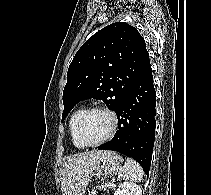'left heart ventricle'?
I'll use <instances>...</instances> for the list:
<instances>
[{
	"mask_svg": "<svg viewBox=\"0 0 211 195\" xmlns=\"http://www.w3.org/2000/svg\"><path fill=\"white\" fill-rule=\"evenodd\" d=\"M110 117L100 111L89 113L83 120L80 134L84 142L94 143L101 140L110 130Z\"/></svg>",
	"mask_w": 211,
	"mask_h": 195,
	"instance_id": "left-heart-ventricle-1",
	"label": "left heart ventricle"
}]
</instances>
